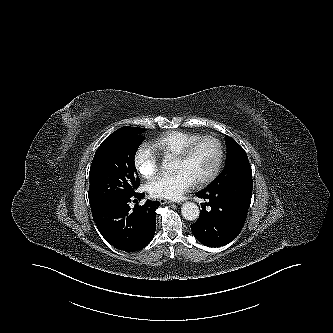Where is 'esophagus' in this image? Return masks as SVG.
I'll return each mask as SVG.
<instances>
[{
	"instance_id": "34e87169",
	"label": "esophagus",
	"mask_w": 333,
	"mask_h": 333,
	"mask_svg": "<svg viewBox=\"0 0 333 333\" xmlns=\"http://www.w3.org/2000/svg\"><path fill=\"white\" fill-rule=\"evenodd\" d=\"M159 202H160L161 204H169V203H172L170 200L163 199V198L159 199Z\"/></svg>"
}]
</instances>
